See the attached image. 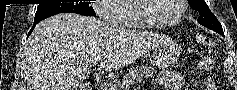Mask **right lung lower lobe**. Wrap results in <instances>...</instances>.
I'll return each instance as SVG.
<instances>
[{
	"instance_id": "obj_1",
	"label": "right lung lower lobe",
	"mask_w": 237,
	"mask_h": 90,
	"mask_svg": "<svg viewBox=\"0 0 237 90\" xmlns=\"http://www.w3.org/2000/svg\"><path fill=\"white\" fill-rule=\"evenodd\" d=\"M37 23H39V22H34V26H33L32 29L30 30L28 36L32 33V31H33V29H34V27H35V25H36Z\"/></svg>"
}]
</instances>
